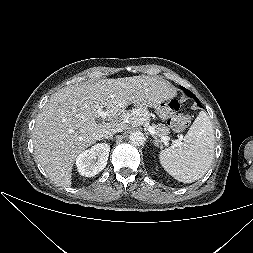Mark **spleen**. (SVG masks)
Wrapping results in <instances>:
<instances>
[{
	"instance_id": "obj_1",
	"label": "spleen",
	"mask_w": 253,
	"mask_h": 253,
	"mask_svg": "<svg viewBox=\"0 0 253 253\" xmlns=\"http://www.w3.org/2000/svg\"><path fill=\"white\" fill-rule=\"evenodd\" d=\"M214 131L206 112L201 111L184 141H176L159 154L163 168L176 180L192 183L204 176L213 161Z\"/></svg>"
}]
</instances>
